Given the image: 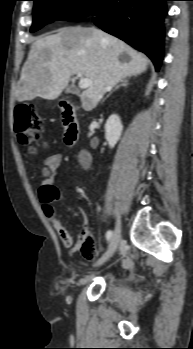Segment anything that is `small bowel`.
<instances>
[{"label": "small bowel", "instance_id": "1", "mask_svg": "<svg viewBox=\"0 0 193 349\" xmlns=\"http://www.w3.org/2000/svg\"><path fill=\"white\" fill-rule=\"evenodd\" d=\"M62 162L61 154H53L47 157L41 168L42 181L39 187V198L44 204H49L61 198L59 190L53 185V177L57 168ZM88 167V166H86ZM54 229L57 231L62 244L66 248H71V254L80 253L85 259L92 260L97 256V250L93 246L92 238L86 230L81 235L80 240L73 246V239L67 229L57 218L51 219Z\"/></svg>", "mask_w": 193, "mask_h": 349}]
</instances>
